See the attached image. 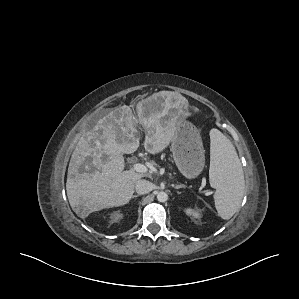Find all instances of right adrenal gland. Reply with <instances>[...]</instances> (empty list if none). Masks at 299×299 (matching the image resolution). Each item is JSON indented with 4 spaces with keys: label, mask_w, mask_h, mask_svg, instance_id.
I'll list each match as a JSON object with an SVG mask.
<instances>
[{
    "label": "right adrenal gland",
    "mask_w": 299,
    "mask_h": 299,
    "mask_svg": "<svg viewBox=\"0 0 299 299\" xmlns=\"http://www.w3.org/2000/svg\"><path fill=\"white\" fill-rule=\"evenodd\" d=\"M139 196H140L139 194H137V195H133L132 198H137V197H139Z\"/></svg>",
    "instance_id": "2a0ac1e0"
}]
</instances>
